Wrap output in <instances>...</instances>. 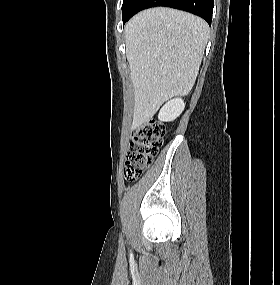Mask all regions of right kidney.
<instances>
[{
    "label": "right kidney",
    "mask_w": 280,
    "mask_h": 285,
    "mask_svg": "<svg viewBox=\"0 0 280 285\" xmlns=\"http://www.w3.org/2000/svg\"><path fill=\"white\" fill-rule=\"evenodd\" d=\"M185 103L181 98H176L168 101L160 110L158 118L160 121H173L175 120L184 110Z\"/></svg>",
    "instance_id": "obj_1"
}]
</instances>
